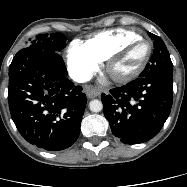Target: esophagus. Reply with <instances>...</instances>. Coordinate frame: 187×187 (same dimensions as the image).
I'll list each match as a JSON object with an SVG mask.
<instances>
[{
    "label": "esophagus",
    "instance_id": "34e87169",
    "mask_svg": "<svg viewBox=\"0 0 187 187\" xmlns=\"http://www.w3.org/2000/svg\"><path fill=\"white\" fill-rule=\"evenodd\" d=\"M84 92H85L86 96L90 99L95 98L100 94L96 89H93L90 86H86L84 88Z\"/></svg>",
    "mask_w": 187,
    "mask_h": 187
}]
</instances>
